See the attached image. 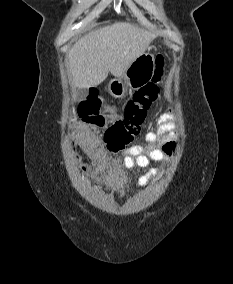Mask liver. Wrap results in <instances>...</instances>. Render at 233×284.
<instances>
[{"instance_id":"liver-1","label":"liver","mask_w":233,"mask_h":284,"mask_svg":"<svg viewBox=\"0 0 233 284\" xmlns=\"http://www.w3.org/2000/svg\"><path fill=\"white\" fill-rule=\"evenodd\" d=\"M156 34L126 22L94 30L79 39L68 55V72L74 88L101 84L110 72L122 76L145 53Z\"/></svg>"}]
</instances>
